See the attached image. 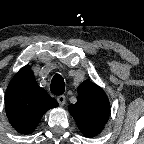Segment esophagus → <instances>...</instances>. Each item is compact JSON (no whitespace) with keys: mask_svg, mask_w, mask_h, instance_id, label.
I'll return each mask as SVG.
<instances>
[{"mask_svg":"<svg viewBox=\"0 0 144 144\" xmlns=\"http://www.w3.org/2000/svg\"><path fill=\"white\" fill-rule=\"evenodd\" d=\"M57 101L59 102L61 106H63L65 104V97L61 95L57 97Z\"/></svg>","mask_w":144,"mask_h":144,"instance_id":"obj_1","label":"esophagus"}]
</instances>
